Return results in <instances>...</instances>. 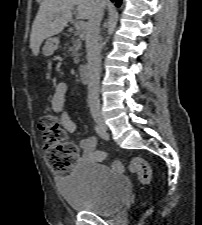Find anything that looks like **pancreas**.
<instances>
[{
  "label": "pancreas",
  "mask_w": 202,
  "mask_h": 225,
  "mask_svg": "<svg viewBox=\"0 0 202 225\" xmlns=\"http://www.w3.org/2000/svg\"><path fill=\"white\" fill-rule=\"evenodd\" d=\"M78 35V33L75 34V36ZM82 46L80 38H72V45L68 47V51L72 52V56L74 57V63L79 62L80 54L78 52L80 51Z\"/></svg>",
  "instance_id": "pancreas-1"
}]
</instances>
